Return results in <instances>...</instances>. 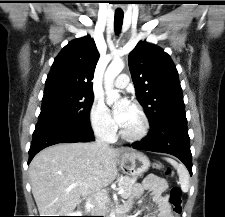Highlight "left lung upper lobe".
Instances as JSON below:
<instances>
[{
    "label": "left lung upper lobe",
    "mask_w": 225,
    "mask_h": 217,
    "mask_svg": "<svg viewBox=\"0 0 225 217\" xmlns=\"http://www.w3.org/2000/svg\"><path fill=\"white\" fill-rule=\"evenodd\" d=\"M138 101L150 126L176 117H186L176 66L160 47L139 42L128 57Z\"/></svg>",
    "instance_id": "1"
}]
</instances>
